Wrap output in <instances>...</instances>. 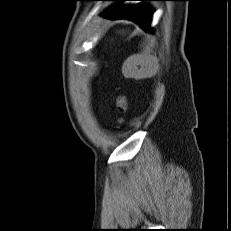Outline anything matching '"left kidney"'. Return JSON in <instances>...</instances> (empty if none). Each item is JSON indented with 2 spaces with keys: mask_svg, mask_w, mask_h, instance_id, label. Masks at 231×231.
Instances as JSON below:
<instances>
[{
  "mask_svg": "<svg viewBox=\"0 0 231 231\" xmlns=\"http://www.w3.org/2000/svg\"><path fill=\"white\" fill-rule=\"evenodd\" d=\"M157 70V62L149 54L132 55L126 59L122 67V73L126 78L136 80L150 78L156 74Z\"/></svg>",
  "mask_w": 231,
  "mask_h": 231,
  "instance_id": "1",
  "label": "left kidney"
}]
</instances>
